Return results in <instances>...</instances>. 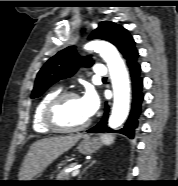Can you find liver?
I'll return each mask as SVG.
<instances>
[{
	"label": "liver",
	"mask_w": 178,
	"mask_h": 186,
	"mask_svg": "<svg viewBox=\"0 0 178 186\" xmlns=\"http://www.w3.org/2000/svg\"><path fill=\"white\" fill-rule=\"evenodd\" d=\"M81 134L54 136L33 143L26 154L20 172V181H28L44 171L55 159L71 149Z\"/></svg>",
	"instance_id": "liver-1"
}]
</instances>
